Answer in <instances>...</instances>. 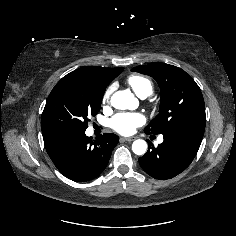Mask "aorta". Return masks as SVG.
Masks as SVG:
<instances>
[{"instance_id": "762f6f07", "label": "aorta", "mask_w": 236, "mask_h": 236, "mask_svg": "<svg viewBox=\"0 0 236 236\" xmlns=\"http://www.w3.org/2000/svg\"><path fill=\"white\" fill-rule=\"evenodd\" d=\"M135 102L133 95L127 91H117L111 97V105L116 109H127ZM132 151L136 155H144L147 151V143L142 139L135 140L132 144Z\"/></svg>"}]
</instances>
